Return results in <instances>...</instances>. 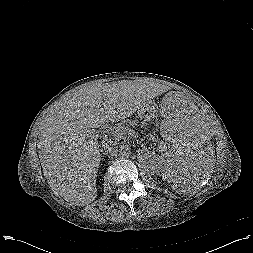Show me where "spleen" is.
<instances>
[{"label": "spleen", "mask_w": 253, "mask_h": 253, "mask_svg": "<svg viewBox=\"0 0 253 253\" xmlns=\"http://www.w3.org/2000/svg\"><path fill=\"white\" fill-rule=\"evenodd\" d=\"M211 154L207 126L199 114L178 108L165 116L154 162L170 190L182 193L199 187L210 173Z\"/></svg>", "instance_id": "1"}]
</instances>
